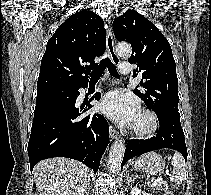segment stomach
I'll return each instance as SVG.
<instances>
[{"instance_id":"0dacf381","label":"stomach","mask_w":211,"mask_h":195,"mask_svg":"<svg viewBox=\"0 0 211 195\" xmlns=\"http://www.w3.org/2000/svg\"><path fill=\"white\" fill-rule=\"evenodd\" d=\"M132 168L136 171L156 175L164 170L165 161L162 156L156 152H148L137 158L132 163Z\"/></svg>"}]
</instances>
